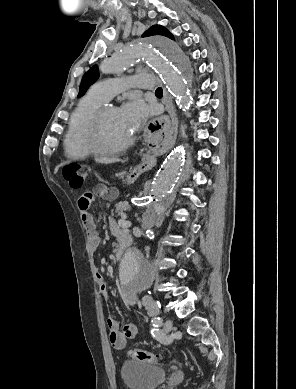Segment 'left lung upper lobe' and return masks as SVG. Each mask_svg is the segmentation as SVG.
Instances as JSON below:
<instances>
[{
    "label": "left lung upper lobe",
    "mask_w": 296,
    "mask_h": 389,
    "mask_svg": "<svg viewBox=\"0 0 296 389\" xmlns=\"http://www.w3.org/2000/svg\"><path fill=\"white\" fill-rule=\"evenodd\" d=\"M152 35H163L168 38L173 39V35L163 26L160 25H154L150 29H148L142 37L145 36H152ZM99 78V71L97 66H93L91 69H89L83 76L81 84H80V89H79V94L78 97H81L82 95L85 94L87 89L89 88L90 85H92L97 79Z\"/></svg>",
    "instance_id": "1"
}]
</instances>
